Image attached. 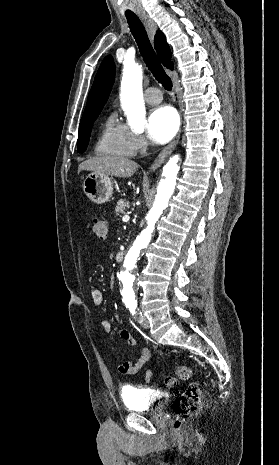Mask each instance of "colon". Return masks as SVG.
<instances>
[{
	"mask_svg": "<svg viewBox=\"0 0 279 465\" xmlns=\"http://www.w3.org/2000/svg\"><path fill=\"white\" fill-rule=\"evenodd\" d=\"M92 230L99 239H104L107 235V224L103 219L94 218L92 221ZM176 375L180 380L188 381L193 376V370L186 366L176 368ZM177 383L176 378L167 376L165 384L168 387H174ZM201 405V391L196 386L188 387L177 399L175 404L174 428L181 431L187 418L193 414Z\"/></svg>",
	"mask_w": 279,
	"mask_h": 465,
	"instance_id": "1",
	"label": "colon"
}]
</instances>
